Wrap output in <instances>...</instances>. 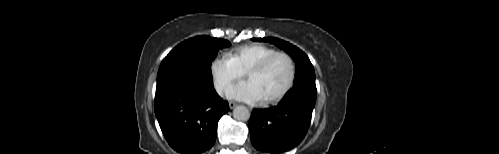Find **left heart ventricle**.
Returning <instances> with one entry per match:
<instances>
[{"label": "left heart ventricle", "mask_w": 499, "mask_h": 154, "mask_svg": "<svg viewBox=\"0 0 499 154\" xmlns=\"http://www.w3.org/2000/svg\"><path fill=\"white\" fill-rule=\"evenodd\" d=\"M289 77V65L285 58H275L266 69L247 75L262 93L264 100L277 95L285 86Z\"/></svg>", "instance_id": "left-heart-ventricle-1"}]
</instances>
